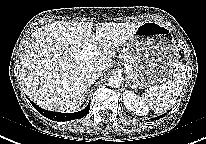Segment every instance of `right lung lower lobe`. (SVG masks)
<instances>
[{
  "mask_svg": "<svg viewBox=\"0 0 206 144\" xmlns=\"http://www.w3.org/2000/svg\"><path fill=\"white\" fill-rule=\"evenodd\" d=\"M31 104L33 105L36 110L42 114L43 116L47 117L48 119L54 120V121H69V120H74V119H79L84 116H86L89 113L90 110V104L87 105V107L79 112L75 113H58V112H52L48 110H44L37 106L35 103L30 101Z\"/></svg>",
  "mask_w": 206,
  "mask_h": 144,
  "instance_id": "98d812e1",
  "label": "right lung lower lobe"
}]
</instances>
